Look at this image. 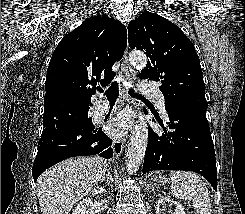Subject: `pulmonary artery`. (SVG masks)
Here are the masks:
<instances>
[{"mask_svg": "<svg viewBox=\"0 0 245 214\" xmlns=\"http://www.w3.org/2000/svg\"><path fill=\"white\" fill-rule=\"evenodd\" d=\"M140 90L141 92L150 98H153L156 101V104L158 108L160 109L161 113L166 116V110L164 106V96L163 94L158 90L157 86L148 80H143L140 84ZM109 108L108 102L106 101H100L95 106V115L101 116L103 115Z\"/></svg>", "mask_w": 245, "mask_h": 214, "instance_id": "obj_1", "label": "pulmonary artery"}]
</instances>
